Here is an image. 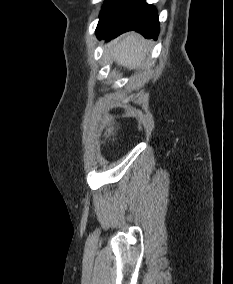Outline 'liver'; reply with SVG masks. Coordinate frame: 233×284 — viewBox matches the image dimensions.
Segmentation results:
<instances>
[{
	"mask_svg": "<svg viewBox=\"0 0 233 284\" xmlns=\"http://www.w3.org/2000/svg\"><path fill=\"white\" fill-rule=\"evenodd\" d=\"M148 46L149 42L136 33L109 44L114 61L129 69L139 67L144 62L149 52Z\"/></svg>",
	"mask_w": 233,
	"mask_h": 284,
	"instance_id": "obj_1",
	"label": "liver"
}]
</instances>
